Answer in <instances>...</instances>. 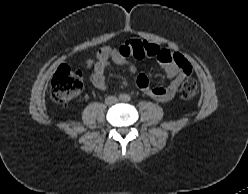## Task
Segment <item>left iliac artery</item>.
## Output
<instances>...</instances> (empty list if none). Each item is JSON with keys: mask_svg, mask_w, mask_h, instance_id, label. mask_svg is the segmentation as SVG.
Here are the masks:
<instances>
[{"mask_svg": "<svg viewBox=\"0 0 248 194\" xmlns=\"http://www.w3.org/2000/svg\"><path fill=\"white\" fill-rule=\"evenodd\" d=\"M125 99H126V101H130L131 98H130V96H126Z\"/></svg>", "mask_w": 248, "mask_h": 194, "instance_id": "left-iliac-artery-1", "label": "left iliac artery"}]
</instances>
